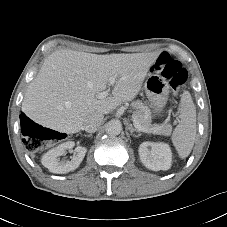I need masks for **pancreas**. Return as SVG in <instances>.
Here are the masks:
<instances>
[{
    "instance_id": "1",
    "label": "pancreas",
    "mask_w": 227,
    "mask_h": 227,
    "mask_svg": "<svg viewBox=\"0 0 227 227\" xmlns=\"http://www.w3.org/2000/svg\"><path fill=\"white\" fill-rule=\"evenodd\" d=\"M132 108L135 109L133 115L139 121V123L145 128H153L158 127L157 131H152L150 133L162 134L165 136H169L171 134L172 128L170 125L163 123L160 125H152L151 124V111L142 101L137 100L132 102Z\"/></svg>"
}]
</instances>
